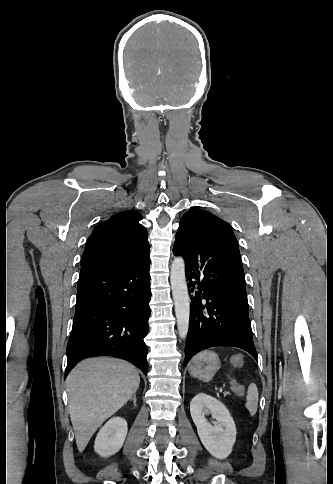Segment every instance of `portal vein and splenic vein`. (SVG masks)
I'll use <instances>...</instances> for the list:
<instances>
[{
	"mask_svg": "<svg viewBox=\"0 0 333 484\" xmlns=\"http://www.w3.org/2000/svg\"><path fill=\"white\" fill-rule=\"evenodd\" d=\"M221 391H223V395L224 396H229V395H232L229 391H226L224 390L223 388L220 389Z\"/></svg>",
	"mask_w": 333,
	"mask_h": 484,
	"instance_id": "portal-vein-and-splenic-vein-1",
	"label": "portal vein and splenic vein"
}]
</instances>
